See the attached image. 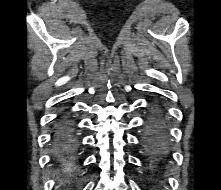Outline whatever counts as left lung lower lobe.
Returning <instances> with one entry per match:
<instances>
[{
	"mask_svg": "<svg viewBox=\"0 0 221 190\" xmlns=\"http://www.w3.org/2000/svg\"><path fill=\"white\" fill-rule=\"evenodd\" d=\"M158 118L159 110L155 112ZM145 149L149 156L156 161L166 157L165 134L162 125L156 120L149 129V135L145 141Z\"/></svg>",
	"mask_w": 221,
	"mask_h": 190,
	"instance_id": "1",
	"label": "left lung lower lobe"
}]
</instances>
